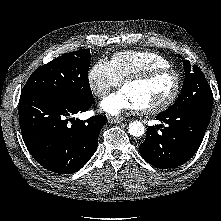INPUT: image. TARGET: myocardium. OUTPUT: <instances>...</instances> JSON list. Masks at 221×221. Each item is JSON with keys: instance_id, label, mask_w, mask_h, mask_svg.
<instances>
[{"instance_id": "myocardium-1", "label": "myocardium", "mask_w": 221, "mask_h": 221, "mask_svg": "<svg viewBox=\"0 0 221 221\" xmlns=\"http://www.w3.org/2000/svg\"><path fill=\"white\" fill-rule=\"evenodd\" d=\"M165 74H171L175 78V86H174L172 93L167 99H165L163 102L155 106L139 109L138 111L141 114H157L168 109L177 100L181 92V88H182L181 74L177 70L171 67L154 68V69L143 71L135 75H131L122 81L121 87L123 88L124 86L128 84L144 83V82L150 81L158 76L165 75Z\"/></svg>"}]
</instances>
